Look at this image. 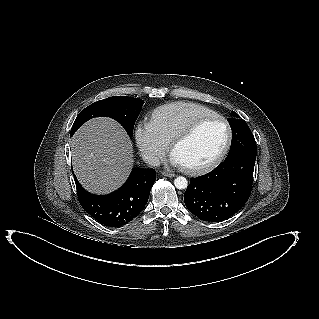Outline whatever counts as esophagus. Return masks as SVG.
<instances>
[{
    "instance_id": "1",
    "label": "esophagus",
    "mask_w": 319,
    "mask_h": 319,
    "mask_svg": "<svg viewBox=\"0 0 319 319\" xmlns=\"http://www.w3.org/2000/svg\"><path fill=\"white\" fill-rule=\"evenodd\" d=\"M162 175H163V176H166V177H170V178L175 176L174 173L166 172V171L162 172Z\"/></svg>"
}]
</instances>
